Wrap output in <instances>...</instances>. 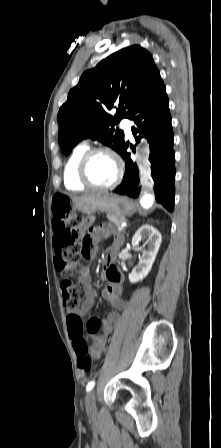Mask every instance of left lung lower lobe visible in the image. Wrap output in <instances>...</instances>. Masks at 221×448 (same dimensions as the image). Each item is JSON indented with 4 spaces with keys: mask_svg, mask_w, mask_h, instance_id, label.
<instances>
[{
    "mask_svg": "<svg viewBox=\"0 0 221 448\" xmlns=\"http://www.w3.org/2000/svg\"><path fill=\"white\" fill-rule=\"evenodd\" d=\"M139 115L132 120L138 129L132 128L138 143L145 136L150 144L151 175L155 183L156 201L168 211L174 209L175 153L173 150V130L165 87L151 95L139 110ZM142 121V122H141ZM141 122V123H140ZM139 133L138 136L136 134ZM129 143H125L120 151L125 160L126 169L123 182L114 190L115 193L138 197L140 190L136 164L126 152Z\"/></svg>",
    "mask_w": 221,
    "mask_h": 448,
    "instance_id": "left-lung-lower-lobe-1",
    "label": "left lung lower lobe"
}]
</instances>
